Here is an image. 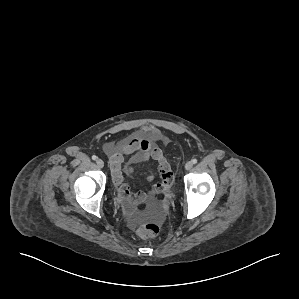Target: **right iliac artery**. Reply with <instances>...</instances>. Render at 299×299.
<instances>
[{
    "label": "right iliac artery",
    "mask_w": 299,
    "mask_h": 299,
    "mask_svg": "<svg viewBox=\"0 0 299 299\" xmlns=\"http://www.w3.org/2000/svg\"><path fill=\"white\" fill-rule=\"evenodd\" d=\"M92 159H93V160H96V159H97V156H96V155H93V156H92Z\"/></svg>",
    "instance_id": "obj_1"
}]
</instances>
